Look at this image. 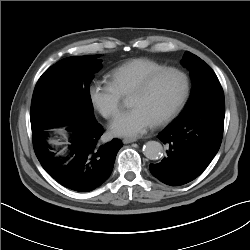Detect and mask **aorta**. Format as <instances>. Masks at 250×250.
<instances>
[{
  "mask_svg": "<svg viewBox=\"0 0 250 250\" xmlns=\"http://www.w3.org/2000/svg\"><path fill=\"white\" fill-rule=\"evenodd\" d=\"M143 154L150 160H158L163 156V147L157 141H148L143 147Z\"/></svg>",
  "mask_w": 250,
  "mask_h": 250,
  "instance_id": "aorta-1",
  "label": "aorta"
}]
</instances>
